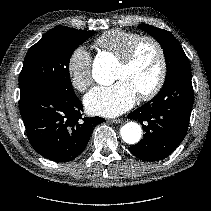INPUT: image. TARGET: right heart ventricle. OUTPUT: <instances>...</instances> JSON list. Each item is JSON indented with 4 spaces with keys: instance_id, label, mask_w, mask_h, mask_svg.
Masks as SVG:
<instances>
[{
    "instance_id": "right-heart-ventricle-1",
    "label": "right heart ventricle",
    "mask_w": 211,
    "mask_h": 211,
    "mask_svg": "<svg viewBox=\"0 0 211 211\" xmlns=\"http://www.w3.org/2000/svg\"><path fill=\"white\" fill-rule=\"evenodd\" d=\"M141 35L136 32L112 29L104 32L95 40V45L120 59L130 45Z\"/></svg>"
}]
</instances>
